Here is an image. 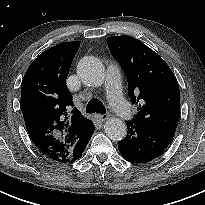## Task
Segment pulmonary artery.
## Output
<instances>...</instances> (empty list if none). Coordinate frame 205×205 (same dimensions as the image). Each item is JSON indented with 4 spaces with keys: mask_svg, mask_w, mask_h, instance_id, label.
<instances>
[{
    "mask_svg": "<svg viewBox=\"0 0 205 205\" xmlns=\"http://www.w3.org/2000/svg\"><path fill=\"white\" fill-rule=\"evenodd\" d=\"M105 83L107 85V99L110 105L117 111L121 121L128 123L132 117L130 105L122 97L120 73L118 68L113 64L107 68Z\"/></svg>",
    "mask_w": 205,
    "mask_h": 205,
    "instance_id": "pulmonary-artery-1",
    "label": "pulmonary artery"
}]
</instances>
